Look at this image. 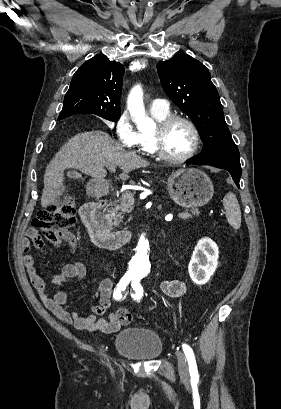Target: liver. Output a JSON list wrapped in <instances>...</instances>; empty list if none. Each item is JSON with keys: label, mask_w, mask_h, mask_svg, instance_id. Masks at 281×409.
Listing matches in <instances>:
<instances>
[{"label": "liver", "mask_w": 281, "mask_h": 409, "mask_svg": "<svg viewBox=\"0 0 281 409\" xmlns=\"http://www.w3.org/2000/svg\"><path fill=\"white\" fill-rule=\"evenodd\" d=\"M150 162L144 160L134 152H127L117 146L108 132L91 130V132H78L68 142L61 146L58 154L50 160L45 168L44 188L41 196L42 207H48L60 196L64 190L65 168H78L84 174H89L97 180H105L107 174L104 166L109 168H122L119 174L121 180L129 178L128 172L140 166H148Z\"/></svg>", "instance_id": "6515ba94"}]
</instances>
